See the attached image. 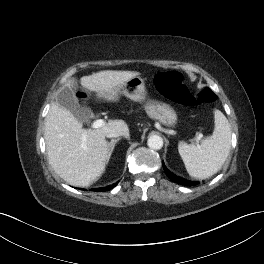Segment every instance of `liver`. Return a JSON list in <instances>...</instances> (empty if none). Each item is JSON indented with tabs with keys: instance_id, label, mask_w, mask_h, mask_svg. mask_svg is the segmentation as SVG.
Wrapping results in <instances>:
<instances>
[{
	"instance_id": "1",
	"label": "liver",
	"mask_w": 264,
	"mask_h": 264,
	"mask_svg": "<svg viewBox=\"0 0 264 264\" xmlns=\"http://www.w3.org/2000/svg\"><path fill=\"white\" fill-rule=\"evenodd\" d=\"M139 75L136 71L106 70L83 76L81 85L98 96L105 97L113 88ZM74 80L65 86L71 88ZM45 142L49 163L68 184L88 187L105 171L110 158L105 139L111 131L125 132L128 125L123 120H111L100 128L84 129L82 123L70 111L58 103H52L45 119Z\"/></svg>"
}]
</instances>
